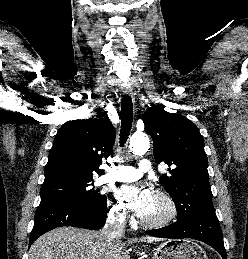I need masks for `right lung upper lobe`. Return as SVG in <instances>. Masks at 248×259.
Returning <instances> with one entry per match:
<instances>
[{
  "mask_svg": "<svg viewBox=\"0 0 248 259\" xmlns=\"http://www.w3.org/2000/svg\"><path fill=\"white\" fill-rule=\"evenodd\" d=\"M95 118L65 123L50 149L43 184L66 180H93L102 159L112 153L116 132L107 112Z\"/></svg>",
  "mask_w": 248,
  "mask_h": 259,
  "instance_id": "cb5924a9",
  "label": "right lung upper lobe"
}]
</instances>
